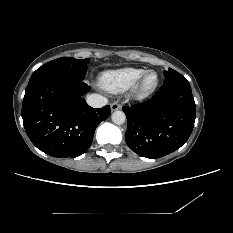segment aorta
Here are the masks:
<instances>
[{
  "label": "aorta",
  "instance_id": "762f6f07",
  "mask_svg": "<svg viewBox=\"0 0 233 233\" xmlns=\"http://www.w3.org/2000/svg\"><path fill=\"white\" fill-rule=\"evenodd\" d=\"M125 120L126 115L123 111L117 110L112 114V121L117 125L123 124Z\"/></svg>",
  "mask_w": 233,
  "mask_h": 233
}]
</instances>
